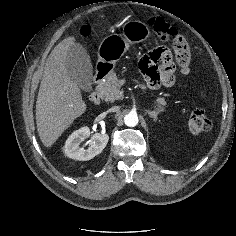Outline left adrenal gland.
I'll return each instance as SVG.
<instances>
[{"label": "left adrenal gland", "instance_id": "a2214340", "mask_svg": "<svg viewBox=\"0 0 236 236\" xmlns=\"http://www.w3.org/2000/svg\"><path fill=\"white\" fill-rule=\"evenodd\" d=\"M161 111H163V109H158L156 111H147V113H148L149 117L153 118V120L156 121L157 116Z\"/></svg>", "mask_w": 236, "mask_h": 236}]
</instances>
